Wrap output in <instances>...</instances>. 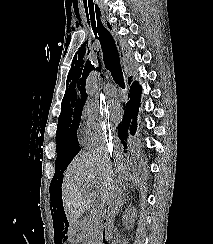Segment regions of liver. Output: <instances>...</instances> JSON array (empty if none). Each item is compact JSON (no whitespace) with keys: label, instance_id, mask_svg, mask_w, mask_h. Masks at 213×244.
<instances>
[{"label":"liver","instance_id":"liver-1","mask_svg":"<svg viewBox=\"0 0 213 244\" xmlns=\"http://www.w3.org/2000/svg\"><path fill=\"white\" fill-rule=\"evenodd\" d=\"M124 173L120 151L112 156L106 147H100L78 155L66 169L62 183V202L69 223H77L95 203L96 193L91 189L97 180L104 202L117 189L114 177Z\"/></svg>","mask_w":213,"mask_h":244}]
</instances>
